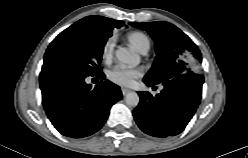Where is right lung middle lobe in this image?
Wrapping results in <instances>:
<instances>
[{"label":"right lung middle lobe","mask_w":248,"mask_h":158,"mask_svg":"<svg viewBox=\"0 0 248 158\" xmlns=\"http://www.w3.org/2000/svg\"><path fill=\"white\" fill-rule=\"evenodd\" d=\"M107 39L94 35L77 21L61 32L49 45L42 71H70L80 75L101 72V59Z\"/></svg>","instance_id":"1"}]
</instances>
